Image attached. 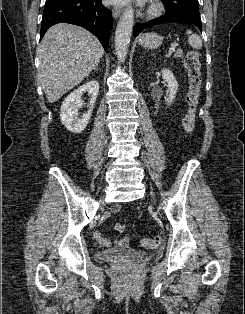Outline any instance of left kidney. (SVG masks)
<instances>
[{
  "label": "left kidney",
  "instance_id": "5707ae66",
  "mask_svg": "<svg viewBox=\"0 0 245 314\" xmlns=\"http://www.w3.org/2000/svg\"><path fill=\"white\" fill-rule=\"evenodd\" d=\"M161 72H162L163 79L168 84L169 92H170L169 97L167 98L166 102L168 105H171V103L174 101L176 97V93L178 91L179 85L174 74L170 70L163 69Z\"/></svg>",
  "mask_w": 245,
  "mask_h": 314
}]
</instances>
